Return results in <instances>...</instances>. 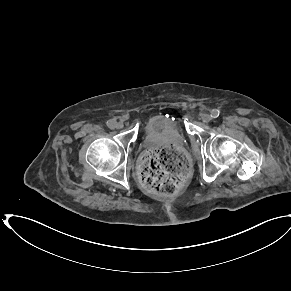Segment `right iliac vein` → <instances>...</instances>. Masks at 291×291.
<instances>
[{
	"instance_id": "right-iliac-vein-1",
	"label": "right iliac vein",
	"mask_w": 291,
	"mask_h": 291,
	"mask_svg": "<svg viewBox=\"0 0 291 291\" xmlns=\"http://www.w3.org/2000/svg\"><path fill=\"white\" fill-rule=\"evenodd\" d=\"M124 127L123 123L122 122H118L116 123V128L117 129H122Z\"/></svg>"
}]
</instances>
